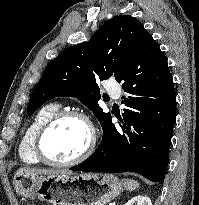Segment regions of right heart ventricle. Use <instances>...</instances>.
<instances>
[{
    "label": "right heart ventricle",
    "mask_w": 199,
    "mask_h": 205,
    "mask_svg": "<svg viewBox=\"0 0 199 205\" xmlns=\"http://www.w3.org/2000/svg\"><path fill=\"white\" fill-rule=\"evenodd\" d=\"M60 107V104L56 102L44 105L37 111L26 127L18 148L19 157L25 164L36 165L40 163L33 150L35 135L39 128L60 110Z\"/></svg>",
    "instance_id": "right-heart-ventricle-1"
}]
</instances>
